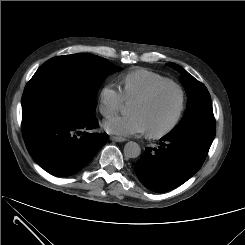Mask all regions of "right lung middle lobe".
<instances>
[{
    "label": "right lung middle lobe",
    "instance_id": "right-lung-middle-lobe-1",
    "mask_svg": "<svg viewBox=\"0 0 245 245\" xmlns=\"http://www.w3.org/2000/svg\"><path fill=\"white\" fill-rule=\"evenodd\" d=\"M49 66L63 73V80H31L22 96V126L31 127L55 118L86 121L96 110L101 82L122 68L93 54L51 58Z\"/></svg>",
    "mask_w": 245,
    "mask_h": 245
}]
</instances>
